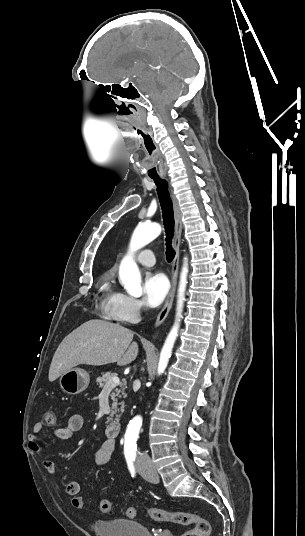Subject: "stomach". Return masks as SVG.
I'll list each match as a JSON object with an SVG mask.
<instances>
[{"instance_id":"obj_1","label":"stomach","mask_w":305,"mask_h":536,"mask_svg":"<svg viewBox=\"0 0 305 536\" xmlns=\"http://www.w3.org/2000/svg\"><path fill=\"white\" fill-rule=\"evenodd\" d=\"M90 382L89 374L81 368H72L59 378L61 390L66 394H80L88 388Z\"/></svg>"}]
</instances>
